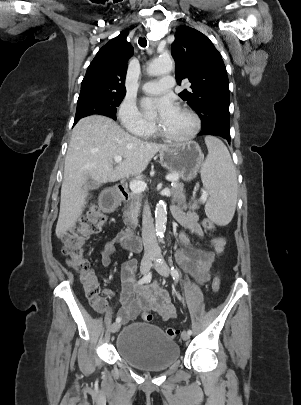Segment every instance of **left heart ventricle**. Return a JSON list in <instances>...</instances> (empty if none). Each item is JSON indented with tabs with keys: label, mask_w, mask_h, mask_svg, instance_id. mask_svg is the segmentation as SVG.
Segmentation results:
<instances>
[{
	"label": "left heart ventricle",
	"mask_w": 301,
	"mask_h": 405,
	"mask_svg": "<svg viewBox=\"0 0 301 405\" xmlns=\"http://www.w3.org/2000/svg\"><path fill=\"white\" fill-rule=\"evenodd\" d=\"M158 124L171 135L182 136L190 132L193 126L192 119L180 110L167 118H158Z\"/></svg>",
	"instance_id": "left-heart-ventricle-1"
}]
</instances>
